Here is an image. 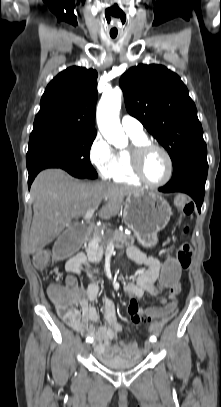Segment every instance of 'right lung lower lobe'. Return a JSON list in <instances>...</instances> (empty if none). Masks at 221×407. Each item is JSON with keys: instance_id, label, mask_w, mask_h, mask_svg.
<instances>
[{"instance_id": "right-lung-lower-lobe-1", "label": "right lung lower lobe", "mask_w": 221, "mask_h": 407, "mask_svg": "<svg viewBox=\"0 0 221 407\" xmlns=\"http://www.w3.org/2000/svg\"><path fill=\"white\" fill-rule=\"evenodd\" d=\"M46 168H59V167H58L56 164H54V163H46V164H44V165H42V166H40V167H38V168H35V169H33V170L28 171V172H29V178H28V186H29V188H30V186H31V184H32V182H33L35 176H36L41 170L46 169ZM71 175H73L74 177H77V178H86V177L77 176V175H74V174H71Z\"/></svg>"}]
</instances>
